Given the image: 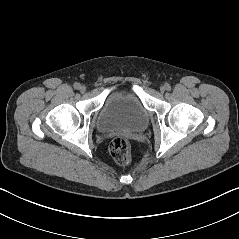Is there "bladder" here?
I'll return each mask as SVG.
<instances>
[{
	"mask_svg": "<svg viewBox=\"0 0 239 239\" xmlns=\"http://www.w3.org/2000/svg\"><path fill=\"white\" fill-rule=\"evenodd\" d=\"M149 122V112L135 91H113L104 101L96 127L100 132L141 133L147 129Z\"/></svg>",
	"mask_w": 239,
	"mask_h": 239,
	"instance_id": "bladder-1",
	"label": "bladder"
}]
</instances>
